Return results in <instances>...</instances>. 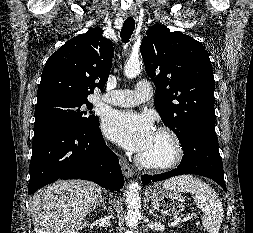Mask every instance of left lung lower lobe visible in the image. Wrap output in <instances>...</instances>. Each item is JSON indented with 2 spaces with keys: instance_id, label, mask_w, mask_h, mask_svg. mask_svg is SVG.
<instances>
[{
  "instance_id": "1",
  "label": "left lung lower lobe",
  "mask_w": 253,
  "mask_h": 233,
  "mask_svg": "<svg viewBox=\"0 0 253 233\" xmlns=\"http://www.w3.org/2000/svg\"><path fill=\"white\" fill-rule=\"evenodd\" d=\"M180 143L184 156L178 167L158 175H142V183L147 185L151 181L157 182L172 176L196 174L214 180L226 191L215 127L205 124L198 125Z\"/></svg>"
}]
</instances>
